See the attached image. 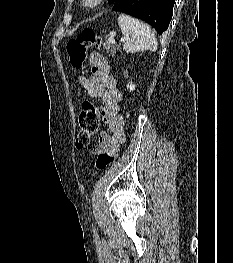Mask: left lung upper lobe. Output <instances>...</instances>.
<instances>
[{
    "label": "left lung upper lobe",
    "instance_id": "5c2ea615",
    "mask_svg": "<svg viewBox=\"0 0 233 263\" xmlns=\"http://www.w3.org/2000/svg\"><path fill=\"white\" fill-rule=\"evenodd\" d=\"M115 1H116V0H109L110 3H113V2H115Z\"/></svg>",
    "mask_w": 233,
    "mask_h": 263
}]
</instances>
